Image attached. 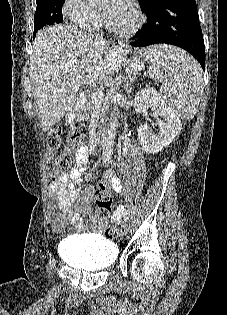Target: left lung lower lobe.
Masks as SVG:
<instances>
[{
  "label": "left lung lower lobe",
  "mask_w": 227,
  "mask_h": 315,
  "mask_svg": "<svg viewBox=\"0 0 227 315\" xmlns=\"http://www.w3.org/2000/svg\"><path fill=\"white\" fill-rule=\"evenodd\" d=\"M147 23L137 31L134 47L165 43L191 53L205 70V46L195 0H165L146 12Z\"/></svg>",
  "instance_id": "obj_1"
}]
</instances>
